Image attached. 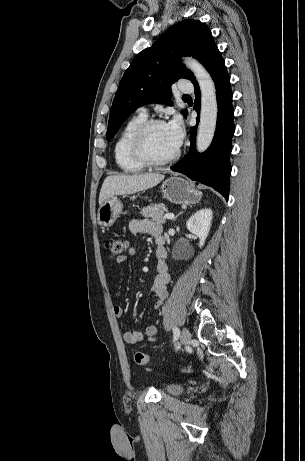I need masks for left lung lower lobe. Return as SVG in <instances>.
Returning a JSON list of instances; mask_svg holds the SVG:
<instances>
[{
  "label": "left lung lower lobe",
  "mask_w": 305,
  "mask_h": 461,
  "mask_svg": "<svg viewBox=\"0 0 305 461\" xmlns=\"http://www.w3.org/2000/svg\"><path fill=\"white\" fill-rule=\"evenodd\" d=\"M214 80L218 104L216 131L211 146L202 154L195 151V137L197 125L190 129V149L187 155L174 166L173 171L183 173L194 181L211 186L220 192L226 199L229 195V176L231 166L229 154L231 152V139L234 134V110L232 107V92L230 77L227 73L225 62L219 53L208 68ZM195 105L194 109L200 112V90L197 82L194 83ZM199 116L197 117V123Z\"/></svg>",
  "instance_id": "0a47b994"
}]
</instances>
